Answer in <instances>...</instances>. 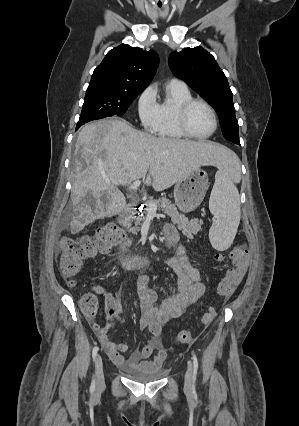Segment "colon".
Segmentation results:
<instances>
[{
	"label": "colon",
	"instance_id": "colon-1",
	"mask_svg": "<svg viewBox=\"0 0 299 426\" xmlns=\"http://www.w3.org/2000/svg\"><path fill=\"white\" fill-rule=\"evenodd\" d=\"M124 233L112 223H107L95 231L93 235L83 236L79 239L63 238L60 241V269L69 284L74 283V277L79 273L84 261L98 253H107L122 242ZM232 267H230L219 282L217 291L223 299L230 298L242 282L248 262L249 253L245 245L235 247L230 253ZM217 260L224 258L223 254H216ZM81 307L87 316H94L98 309V299L92 294H85L81 299ZM214 318L210 311L203 318V323L208 324ZM193 335L188 330L178 332L174 337L177 344H189Z\"/></svg>",
	"mask_w": 299,
	"mask_h": 426
}]
</instances>
